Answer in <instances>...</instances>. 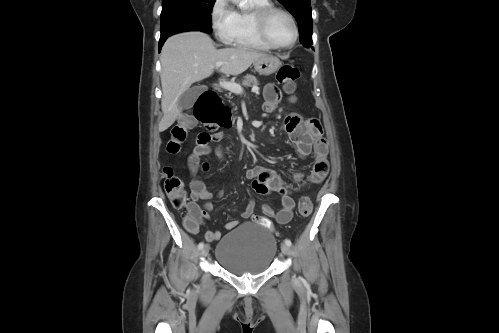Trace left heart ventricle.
Masks as SVG:
<instances>
[{"label":"left heart ventricle","instance_id":"obj_1","mask_svg":"<svg viewBox=\"0 0 499 333\" xmlns=\"http://www.w3.org/2000/svg\"><path fill=\"white\" fill-rule=\"evenodd\" d=\"M267 31L275 44L286 45L293 38V27L288 17L280 12L273 13L267 23Z\"/></svg>","mask_w":499,"mask_h":333}]
</instances>
